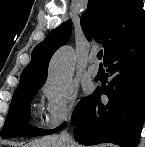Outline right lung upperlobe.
I'll return each mask as SVG.
<instances>
[{
    "label": "right lung upper lobe",
    "mask_w": 145,
    "mask_h": 147,
    "mask_svg": "<svg viewBox=\"0 0 145 147\" xmlns=\"http://www.w3.org/2000/svg\"><path fill=\"white\" fill-rule=\"evenodd\" d=\"M145 26L142 0H88L81 17L85 37L94 38L105 48L104 61L129 36ZM72 24L68 20L52 30L32 51L31 61L22 71L16 90L42 86L54 52L68 42Z\"/></svg>",
    "instance_id": "obj_1"
}]
</instances>
